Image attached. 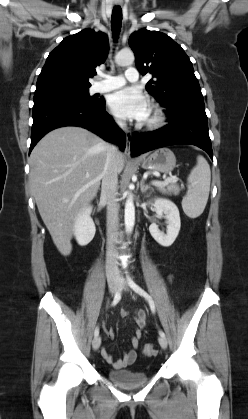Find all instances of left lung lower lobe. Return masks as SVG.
<instances>
[{"mask_svg": "<svg viewBox=\"0 0 248 419\" xmlns=\"http://www.w3.org/2000/svg\"><path fill=\"white\" fill-rule=\"evenodd\" d=\"M169 124L148 133H134L131 141L132 156L173 144H191L206 151L213 160L211 140L205 107L192 105L168 112Z\"/></svg>", "mask_w": 248, "mask_h": 419, "instance_id": "1", "label": "left lung lower lobe"}]
</instances>
